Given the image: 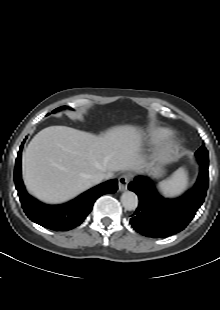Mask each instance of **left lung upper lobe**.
Returning <instances> with one entry per match:
<instances>
[{"label":"left lung upper lobe","instance_id":"1","mask_svg":"<svg viewBox=\"0 0 220 310\" xmlns=\"http://www.w3.org/2000/svg\"><path fill=\"white\" fill-rule=\"evenodd\" d=\"M199 163H209L208 151L204 145H202L195 153Z\"/></svg>","mask_w":220,"mask_h":310}]
</instances>
